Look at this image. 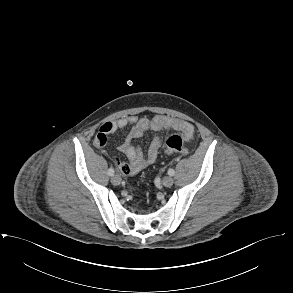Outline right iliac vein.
I'll return each mask as SVG.
<instances>
[{
    "mask_svg": "<svg viewBox=\"0 0 293 293\" xmlns=\"http://www.w3.org/2000/svg\"><path fill=\"white\" fill-rule=\"evenodd\" d=\"M111 183L113 184V185H119L120 183H121V178H120V176L119 175H113L112 177H111Z\"/></svg>",
    "mask_w": 293,
    "mask_h": 293,
    "instance_id": "right-iliac-vein-1",
    "label": "right iliac vein"
}]
</instances>
